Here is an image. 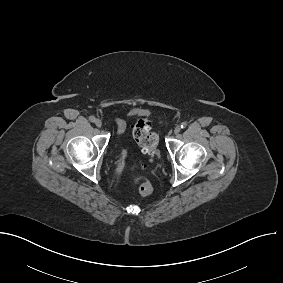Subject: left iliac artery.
<instances>
[{
	"label": "left iliac artery",
	"mask_w": 283,
	"mask_h": 283,
	"mask_svg": "<svg viewBox=\"0 0 283 283\" xmlns=\"http://www.w3.org/2000/svg\"><path fill=\"white\" fill-rule=\"evenodd\" d=\"M186 127H187V123H186V122H182V123H181V128H182V129H185Z\"/></svg>",
	"instance_id": "44dca946"
}]
</instances>
